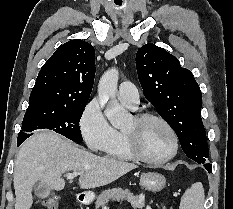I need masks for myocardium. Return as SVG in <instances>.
<instances>
[{
  "mask_svg": "<svg viewBox=\"0 0 233 209\" xmlns=\"http://www.w3.org/2000/svg\"><path fill=\"white\" fill-rule=\"evenodd\" d=\"M156 120L160 122L169 132L171 139H172V150L171 152L165 156L164 158L160 159H153L150 157H147L140 149L138 145V138H137V127L140 126L143 122L146 120ZM134 121V129L132 130H124V136L126 140V145L127 148L130 152V154L137 160L147 163V164H152V165H163L171 161L177 154L178 149H179V140L178 136L172 127V125L162 116H160L157 113L154 112H139L133 117Z\"/></svg>",
  "mask_w": 233,
  "mask_h": 209,
  "instance_id": "f54148a6",
  "label": "myocardium"
}]
</instances>
